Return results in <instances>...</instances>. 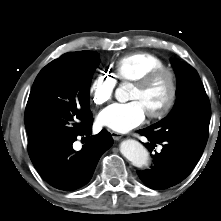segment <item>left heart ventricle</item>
Segmentation results:
<instances>
[{
    "label": "left heart ventricle",
    "instance_id": "obj_1",
    "mask_svg": "<svg viewBox=\"0 0 221 221\" xmlns=\"http://www.w3.org/2000/svg\"><path fill=\"white\" fill-rule=\"evenodd\" d=\"M169 82L166 77H161L147 88L134 85L130 99L142 103L146 113L158 111L165 104L169 95Z\"/></svg>",
    "mask_w": 221,
    "mask_h": 221
}]
</instances>
